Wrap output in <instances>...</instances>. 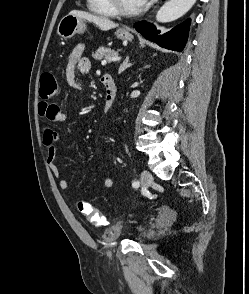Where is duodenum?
Instances as JSON below:
<instances>
[{"label":"duodenum","mask_w":249,"mask_h":294,"mask_svg":"<svg viewBox=\"0 0 249 294\" xmlns=\"http://www.w3.org/2000/svg\"><path fill=\"white\" fill-rule=\"evenodd\" d=\"M101 82L105 88L104 104L102 110L104 114H107L115 102L116 83L114 79L108 74L101 76Z\"/></svg>","instance_id":"410a0bca"}]
</instances>
